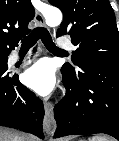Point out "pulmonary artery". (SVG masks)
<instances>
[{"mask_svg":"<svg viewBox=\"0 0 119 141\" xmlns=\"http://www.w3.org/2000/svg\"><path fill=\"white\" fill-rule=\"evenodd\" d=\"M58 46L61 47V48H67V49H71V50L74 49V47H73V45H72L71 43L66 42V41H64V40H60V41L58 42ZM19 60H20V56H19L18 54H13V55L11 56V62H12V63H16V62L19 61Z\"/></svg>","mask_w":119,"mask_h":141,"instance_id":"1","label":"pulmonary artery"}]
</instances>
